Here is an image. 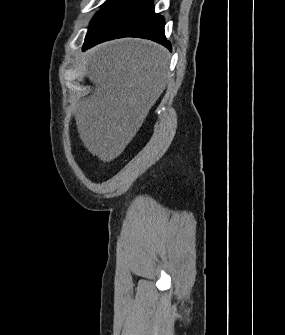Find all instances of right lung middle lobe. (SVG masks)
Returning <instances> with one entry per match:
<instances>
[{"label":"right lung middle lobe","instance_id":"1","mask_svg":"<svg viewBox=\"0 0 285 335\" xmlns=\"http://www.w3.org/2000/svg\"><path fill=\"white\" fill-rule=\"evenodd\" d=\"M122 1L123 0H107V2L102 5V9L91 21L88 32L100 21H102L107 15H109Z\"/></svg>","mask_w":285,"mask_h":335}]
</instances>
